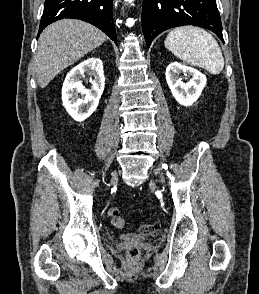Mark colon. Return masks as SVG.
<instances>
[{"mask_svg": "<svg viewBox=\"0 0 259 294\" xmlns=\"http://www.w3.org/2000/svg\"><path fill=\"white\" fill-rule=\"evenodd\" d=\"M107 214L116 228L122 229L126 226L125 220L119 216V209L117 207H109ZM157 230L158 228L155 224H143L139 227L138 232L141 236H152ZM127 253L131 258H136L140 250L137 246H131L128 248Z\"/></svg>", "mask_w": 259, "mask_h": 294, "instance_id": "1", "label": "colon"}]
</instances>
